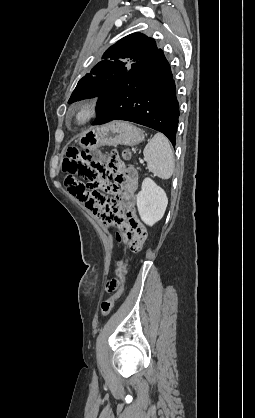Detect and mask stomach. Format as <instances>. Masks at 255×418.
I'll return each instance as SVG.
<instances>
[{
	"label": "stomach",
	"mask_w": 255,
	"mask_h": 418,
	"mask_svg": "<svg viewBox=\"0 0 255 418\" xmlns=\"http://www.w3.org/2000/svg\"><path fill=\"white\" fill-rule=\"evenodd\" d=\"M143 139L144 133L140 128L126 122H113L89 128L79 138V144L84 149L97 148L101 145L133 146Z\"/></svg>",
	"instance_id": "1"
}]
</instances>
